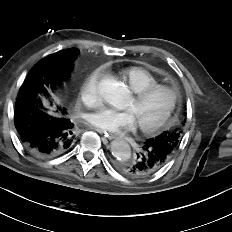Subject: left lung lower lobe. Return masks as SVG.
Instances as JSON below:
<instances>
[{
    "label": "left lung lower lobe",
    "instance_id": "1",
    "mask_svg": "<svg viewBox=\"0 0 232 232\" xmlns=\"http://www.w3.org/2000/svg\"><path fill=\"white\" fill-rule=\"evenodd\" d=\"M171 157L169 149L149 139L143 143L133 162L121 165L120 169L131 177H143L160 170Z\"/></svg>",
    "mask_w": 232,
    "mask_h": 232
}]
</instances>
